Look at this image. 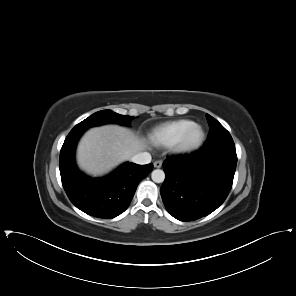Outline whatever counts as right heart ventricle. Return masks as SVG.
<instances>
[{
	"label": "right heart ventricle",
	"mask_w": 296,
	"mask_h": 296,
	"mask_svg": "<svg viewBox=\"0 0 296 296\" xmlns=\"http://www.w3.org/2000/svg\"><path fill=\"white\" fill-rule=\"evenodd\" d=\"M192 123V121L187 119L162 123L151 130L148 134V140L152 145L168 147Z\"/></svg>",
	"instance_id": "1"
}]
</instances>
